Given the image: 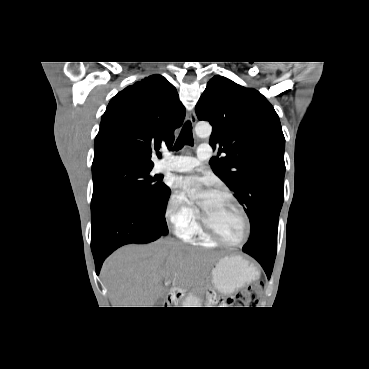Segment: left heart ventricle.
I'll return each instance as SVG.
<instances>
[{
    "label": "left heart ventricle",
    "instance_id": "b2bd125f",
    "mask_svg": "<svg viewBox=\"0 0 369 369\" xmlns=\"http://www.w3.org/2000/svg\"><path fill=\"white\" fill-rule=\"evenodd\" d=\"M200 209L213 230L229 241H239L245 233L242 214L228 198L212 194L203 196Z\"/></svg>",
    "mask_w": 369,
    "mask_h": 369
}]
</instances>
